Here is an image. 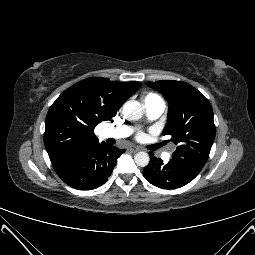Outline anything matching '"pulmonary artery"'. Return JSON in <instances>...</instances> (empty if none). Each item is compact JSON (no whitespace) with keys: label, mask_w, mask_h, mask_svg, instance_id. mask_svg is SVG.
I'll use <instances>...</instances> for the list:
<instances>
[{"label":"pulmonary artery","mask_w":255,"mask_h":255,"mask_svg":"<svg viewBox=\"0 0 255 255\" xmlns=\"http://www.w3.org/2000/svg\"><path fill=\"white\" fill-rule=\"evenodd\" d=\"M147 117L150 120L159 118L165 110V103L162 99H157L149 104L145 105ZM132 133V128L128 126H122L117 128H108L102 131L101 135L104 138H125ZM168 155L166 154V157Z\"/></svg>","instance_id":"pulmonary-artery-1"}]
</instances>
